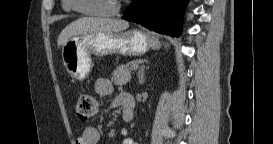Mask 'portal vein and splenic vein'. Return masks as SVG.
<instances>
[{
	"instance_id": "18ae733b",
	"label": "portal vein and splenic vein",
	"mask_w": 273,
	"mask_h": 144,
	"mask_svg": "<svg viewBox=\"0 0 273 144\" xmlns=\"http://www.w3.org/2000/svg\"><path fill=\"white\" fill-rule=\"evenodd\" d=\"M138 68H139V65H134L131 70L136 71Z\"/></svg>"
}]
</instances>
